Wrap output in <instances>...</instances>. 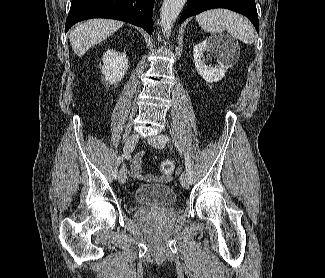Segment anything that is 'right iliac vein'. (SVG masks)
I'll list each match as a JSON object with an SVG mask.
<instances>
[{
  "mask_svg": "<svg viewBox=\"0 0 325 278\" xmlns=\"http://www.w3.org/2000/svg\"><path fill=\"white\" fill-rule=\"evenodd\" d=\"M138 139H139L138 134H133L130 137H128L124 145V152L127 154L132 152L138 142ZM118 179L121 184H124L126 182L127 171L124 167L120 170Z\"/></svg>",
  "mask_w": 325,
  "mask_h": 278,
  "instance_id": "right-iliac-vein-1",
  "label": "right iliac vein"
}]
</instances>
